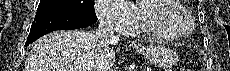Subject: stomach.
Wrapping results in <instances>:
<instances>
[{
    "label": "stomach",
    "instance_id": "1",
    "mask_svg": "<svg viewBox=\"0 0 230 71\" xmlns=\"http://www.w3.org/2000/svg\"><path fill=\"white\" fill-rule=\"evenodd\" d=\"M140 52L153 64L163 68H169L178 61L176 52L163 45H150Z\"/></svg>",
    "mask_w": 230,
    "mask_h": 71
}]
</instances>
